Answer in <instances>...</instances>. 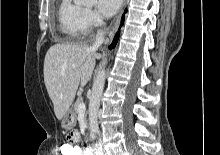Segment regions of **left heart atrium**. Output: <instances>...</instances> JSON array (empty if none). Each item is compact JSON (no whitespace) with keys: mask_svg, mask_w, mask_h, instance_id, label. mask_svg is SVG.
I'll list each match as a JSON object with an SVG mask.
<instances>
[{"mask_svg":"<svg viewBox=\"0 0 220 155\" xmlns=\"http://www.w3.org/2000/svg\"><path fill=\"white\" fill-rule=\"evenodd\" d=\"M122 0H98L97 8L104 16L114 15L121 6Z\"/></svg>","mask_w":220,"mask_h":155,"instance_id":"39dd6f15","label":"left heart atrium"}]
</instances>
